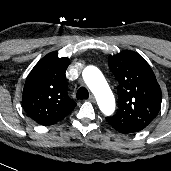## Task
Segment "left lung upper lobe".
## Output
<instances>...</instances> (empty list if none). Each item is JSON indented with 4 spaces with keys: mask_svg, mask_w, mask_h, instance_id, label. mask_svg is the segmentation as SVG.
I'll return each mask as SVG.
<instances>
[{
    "mask_svg": "<svg viewBox=\"0 0 171 171\" xmlns=\"http://www.w3.org/2000/svg\"><path fill=\"white\" fill-rule=\"evenodd\" d=\"M108 63L119 82V109L106 120L114 128L148 126L157 116L162 102L161 89L151 67L133 51L111 56Z\"/></svg>",
    "mask_w": 171,
    "mask_h": 171,
    "instance_id": "obj_1",
    "label": "left lung upper lobe"
}]
</instances>
